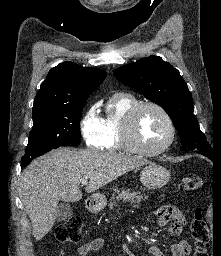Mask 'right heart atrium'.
Returning a JSON list of instances; mask_svg holds the SVG:
<instances>
[{
	"label": "right heart atrium",
	"instance_id": "right-heart-atrium-1",
	"mask_svg": "<svg viewBox=\"0 0 221 256\" xmlns=\"http://www.w3.org/2000/svg\"><path fill=\"white\" fill-rule=\"evenodd\" d=\"M80 132L88 147H102L104 126L103 119L98 114L96 104L91 105L83 114L80 120Z\"/></svg>",
	"mask_w": 221,
	"mask_h": 256
}]
</instances>
